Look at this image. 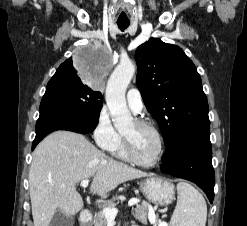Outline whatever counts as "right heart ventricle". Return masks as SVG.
<instances>
[{"instance_id":"1","label":"right heart ventricle","mask_w":247,"mask_h":226,"mask_svg":"<svg viewBox=\"0 0 247 226\" xmlns=\"http://www.w3.org/2000/svg\"><path fill=\"white\" fill-rule=\"evenodd\" d=\"M109 151L113 156L122 160H127L123 149L122 136L120 134L117 143Z\"/></svg>"}]
</instances>
